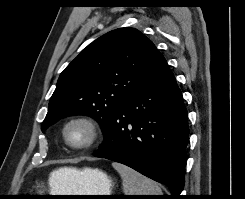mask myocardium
<instances>
[{
  "mask_svg": "<svg viewBox=\"0 0 245 199\" xmlns=\"http://www.w3.org/2000/svg\"><path fill=\"white\" fill-rule=\"evenodd\" d=\"M74 123H82L89 130V138L83 144H80V145L73 144L72 142H70V140L68 138V135H67L68 128ZM62 135H63L65 143L70 148H72L74 150H79V151L88 150V149L92 148L97 143V141L99 140L100 128H99V125L97 124V122L94 119H92L91 117H88L85 115H75V116L70 117L64 123L63 128H62Z\"/></svg>",
  "mask_w": 245,
  "mask_h": 199,
  "instance_id": "f54148a6",
  "label": "myocardium"
}]
</instances>
